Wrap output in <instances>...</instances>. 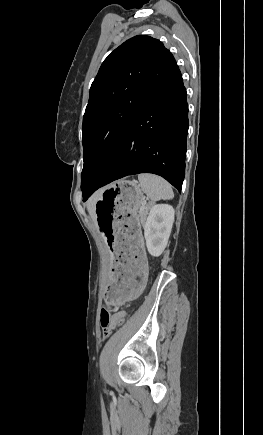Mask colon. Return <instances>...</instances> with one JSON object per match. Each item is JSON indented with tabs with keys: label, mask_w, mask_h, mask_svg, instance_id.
Returning <instances> with one entry per match:
<instances>
[{
	"label": "colon",
	"mask_w": 263,
	"mask_h": 435,
	"mask_svg": "<svg viewBox=\"0 0 263 435\" xmlns=\"http://www.w3.org/2000/svg\"><path fill=\"white\" fill-rule=\"evenodd\" d=\"M108 321H112L115 325H124L125 323L123 322V319L118 317V316H114L111 312V310L107 307H103L100 313V323L101 326L105 332V334H108L109 330L105 327V324Z\"/></svg>",
	"instance_id": "obj_1"
}]
</instances>
